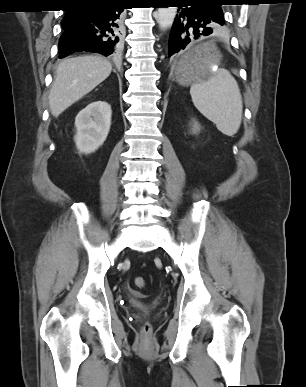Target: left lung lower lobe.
<instances>
[{
	"label": "left lung lower lobe",
	"mask_w": 306,
	"mask_h": 387,
	"mask_svg": "<svg viewBox=\"0 0 306 387\" xmlns=\"http://www.w3.org/2000/svg\"><path fill=\"white\" fill-rule=\"evenodd\" d=\"M166 2L179 4L168 42L169 56L187 48L194 39L213 33L212 27L224 25L221 1L168 0Z\"/></svg>",
	"instance_id": "0a47b994"
}]
</instances>
